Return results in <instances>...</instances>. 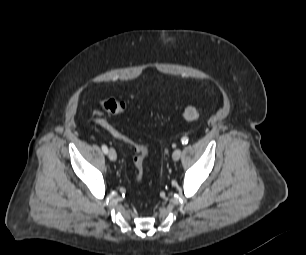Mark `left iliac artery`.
<instances>
[{"label":"left iliac artery","mask_w":306,"mask_h":255,"mask_svg":"<svg viewBox=\"0 0 306 255\" xmlns=\"http://www.w3.org/2000/svg\"><path fill=\"white\" fill-rule=\"evenodd\" d=\"M182 144H187L188 143V138L187 137H183L181 139Z\"/></svg>","instance_id":"obj_1"}]
</instances>
